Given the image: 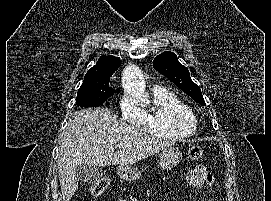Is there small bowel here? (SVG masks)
<instances>
[{
    "label": "small bowel",
    "instance_id": "c3829d8e",
    "mask_svg": "<svg viewBox=\"0 0 271 201\" xmlns=\"http://www.w3.org/2000/svg\"><path fill=\"white\" fill-rule=\"evenodd\" d=\"M189 186L200 189L214 184L213 175L202 165L191 169L186 176Z\"/></svg>",
    "mask_w": 271,
    "mask_h": 201
}]
</instances>
